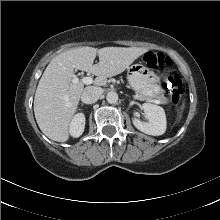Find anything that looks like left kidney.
Listing matches in <instances>:
<instances>
[{"label":"left kidney","instance_id":"1","mask_svg":"<svg viewBox=\"0 0 220 220\" xmlns=\"http://www.w3.org/2000/svg\"><path fill=\"white\" fill-rule=\"evenodd\" d=\"M142 110L146 114L148 122H142L134 118L132 121L133 125L138 130L148 135L159 136L164 134L166 131V116L164 109L151 103H144L142 105Z\"/></svg>","mask_w":220,"mask_h":220}]
</instances>
